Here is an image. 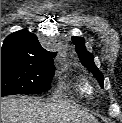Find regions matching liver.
I'll return each mask as SVG.
<instances>
[{"label": "liver", "mask_w": 122, "mask_h": 123, "mask_svg": "<svg viewBox=\"0 0 122 123\" xmlns=\"http://www.w3.org/2000/svg\"><path fill=\"white\" fill-rule=\"evenodd\" d=\"M1 123H98V120L69 104L12 97L1 100Z\"/></svg>", "instance_id": "1"}]
</instances>
